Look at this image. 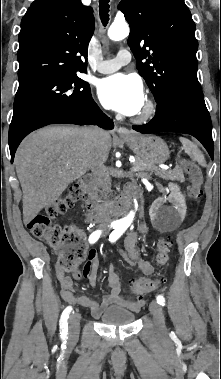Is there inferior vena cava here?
I'll return each instance as SVG.
<instances>
[{
  "mask_svg": "<svg viewBox=\"0 0 221 379\" xmlns=\"http://www.w3.org/2000/svg\"><path fill=\"white\" fill-rule=\"evenodd\" d=\"M85 133L90 139L97 140L103 134V131L98 127H90L85 130ZM92 174L96 182L102 189L101 192L105 194L109 193L111 188V179L109 177L104 163L94 164V166L92 167ZM110 221L111 219L109 216L105 217L102 225L106 226Z\"/></svg>",
  "mask_w": 221,
  "mask_h": 379,
  "instance_id": "inferior-vena-cava-1",
  "label": "inferior vena cava"
}]
</instances>
